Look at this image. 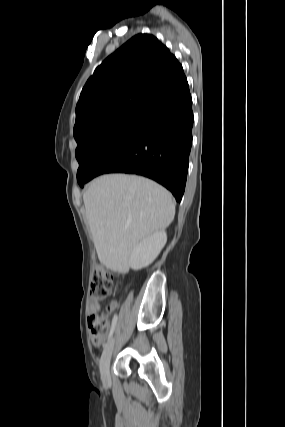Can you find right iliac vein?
Returning <instances> with one entry per match:
<instances>
[{"mask_svg": "<svg viewBox=\"0 0 285 427\" xmlns=\"http://www.w3.org/2000/svg\"><path fill=\"white\" fill-rule=\"evenodd\" d=\"M114 347V338H112L105 346L103 353L100 358L99 369L100 375L103 381H109L110 379V359Z\"/></svg>", "mask_w": 285, "mask_h": 427, "instance_id": "right-iliac-vein-1", "label": "right iliac vein"}]
</instances>
